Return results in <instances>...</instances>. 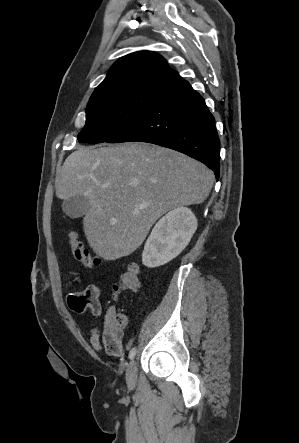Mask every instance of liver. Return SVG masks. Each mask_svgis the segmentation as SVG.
Listing matches in <instances>:
<instances>
[{"label": "liver", "instance_id": "liver-1", "mask_svg": "<svg viewBox=\"0 0 299 443\" xmlns=\"http://www.w3.org/2000/svg\"><path fill=\"white\" fill-rule=\"evenodd\" d=\"M213 181L207 166L185 154L126 143L79 147L66 158L55 187L62 200L89 198L86 239L104 260H116L133 253L167 211L204 202Z\"/></svg>", "mask_w": 299, "mask_h": 443}]
</instances>
